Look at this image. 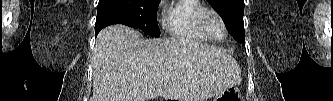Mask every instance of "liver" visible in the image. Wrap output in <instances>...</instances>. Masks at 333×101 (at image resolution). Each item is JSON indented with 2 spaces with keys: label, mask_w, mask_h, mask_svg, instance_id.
I'll use <instances>...</instances> for the list:
<instances>
[{
  "label": "liver",
  "mask_w": 333,
  "mask_h": 101,
  "mask_svg": "<svg viewBox=\"0 0 333 101\" xmlns=\"http://www.w3.org/2000/svg\"><path fill=\"white\" fill-rule=\"evenodd\" d=\"M92 67L91 101H205L241 83L238 63L222 48L184 38L148 40L124 25L99 33Z\"/></svg>",
  "instance_id": "1"
}]
</instances>
